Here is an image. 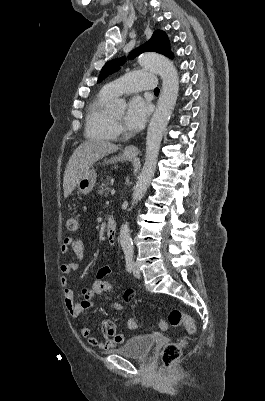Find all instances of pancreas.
Here are the masks:
<instances>
[{
  "label": "pancreas",
  "mask_w": 265,
  "mask_h": 401,
  "mask_svg": "<svg viewBox=\"0 0 265 401\" xmlns=\"http://www.w3.org/2000/svg\"><path fill=\"white\" fill-rule=\"evenodd\" d=\"M111 184H113V178H111V176H108V178H107V180H105V182H101V184H99V186H98L99 194H104V196H106V194H108V192H110Z\"/></svg>",
  "instance_id": "obj_1"
}]
</instances>
